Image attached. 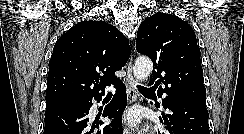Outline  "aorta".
<instances>
[{
  "instance_id": "aorta-1",
  "label": "aorta",
  "mask_w": 244,
  "mask_h": 134,
  "mask_svg": "<svg viewBox=\"0 0 244 134\" xmlns=\"http://www.w3.org/2000/svg\"><path fill=\"white\" fill-rule=\"evenodd\" d=\"M152 70V61L147 57L141 56L135 61L133 74L137 81H143L150 76Z\"/></svg>"
}]
</instances>
